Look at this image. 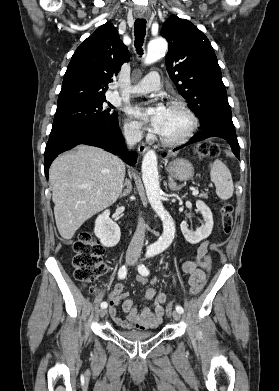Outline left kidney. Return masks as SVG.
Instances as JSON below:
<instances>
[{
    "mask_svg": "<svg viewBox=\"0 0 279 391\" xmlns=\"http://www.w3.org/2000/svg\"><path fill=\"white\" fill-rule=\"evenodd\" d=\"M196 207L203 215L204 224L194 232L188 229L186 222H182L180 225L184 238L191 244H197L203 239H206L211 234L214 224L212 212L204 202L197 201Z\"/></svg>",
    "mask_w": 279,
    "mask_h": 391,
    "instance_id": "5707ae66",
    "label": "left kidney"
}]
</instances>
